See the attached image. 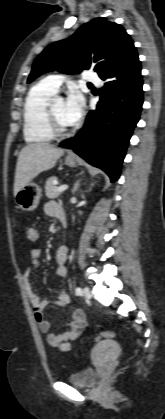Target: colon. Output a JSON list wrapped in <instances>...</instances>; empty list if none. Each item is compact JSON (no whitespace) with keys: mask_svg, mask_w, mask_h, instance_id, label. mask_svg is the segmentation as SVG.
Instances as JSON below:
<instances>
[{"mask_svg":"<svg viewBox=\"0 0 165 419\" xmlns=\"http://www.w3.org/2000/svg\"><path fill=\"white\" fill-rule=\"evenodd\" d=\"M31 236H35L34 232H31ZM113 337V333L111 331H103L102 333H100L97 337L96 340H106Z\"/></svg>","mask_w":165,"mask_h":419,"instance_id":"1","label":"colon"}]
</instances>
